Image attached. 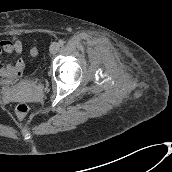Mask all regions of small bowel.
<instances>
[{"label":"small bowel","instance_id":"c3829d8e","mask_svg":"<svg viewBox=\"0 0 172 172\" xmlns=\"http://www.w3.org/2000/svg\"><path fill=\"white\" fill-rule=\"evenodd\" d=\"M25 45L18 39H3L0 40V56L3 53H14L20 56L24 51ZM32 56L38 54V48L33 47L30 50ZM25 61L19 57L14 63H3L0 60V81L4 85H10L15 82L25 68Z\"/></svg>","mask_w":172,"mask_h":172}]
</instances>
